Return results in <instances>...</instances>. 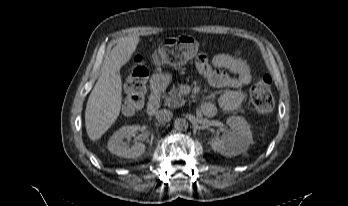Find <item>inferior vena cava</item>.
<instances>
[{
  "instance_id": "obj_1",
  "label": "inferior vena cava",
  "mask_w": 348,
  "mask_h": 206,
  "mask_svg": "<svg viewBox=\"0 0 348 206\" xmlns=\"http://www.w3.org/2000/svg\"><path fill=\"white\" fill-rule=\"evenodd\" d=\"M173 117V113L167 109H161L156 113V119L161 123L169 122Z\"/></svg>"
}]
</instances>
